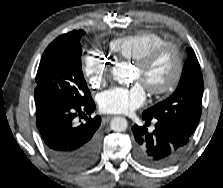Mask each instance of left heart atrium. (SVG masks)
Segmentation results:
<instances>
[{
	"label": "left heart atrium",
	"instance_id": "39dd6f15",
	"mask_svg": "<svg viewBox=\"0 0 223 188\" xmlns=\"http://www.w3.org/2000/svg\"><path fill=\"white\" fill-rule=\"evenodd\" d=\"M146 100V91L142 83L136 82L129 87L116 86L98 96V105L108 114H127L140 107Z\"/></svg>",
	"mask_w": 223,
	"mask_h": 188
}]
</instances>
